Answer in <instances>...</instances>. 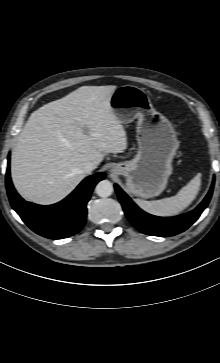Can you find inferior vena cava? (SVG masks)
<instances>
[{
  "mask_svg": "<svg viewBox=\"0 0 220 363\" xmlns=\"http://www.w3.org/2000/svg\"><path fill=\"white\" fill-rule=\"evenodd\" d=\"M96 168V165L93 162H86L83 166V172L88 174L92 172Z\"/></svg>",
  "mask_w": 220,
  "mask_h": 363,
  "instance_id": "1",
  "label": "inferior vena cava"
}]
</instances>
